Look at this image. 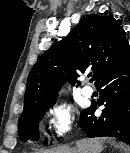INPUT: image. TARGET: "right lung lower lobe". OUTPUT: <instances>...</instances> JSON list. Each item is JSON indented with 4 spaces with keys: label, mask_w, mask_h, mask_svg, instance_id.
I'll return each instance as SVG.
<instances>
[{
    "label": "right lung lower lobe",
    "mask_w": 130,
    "mask_h": 153,
    "mask_svg": "<svg viewBox=\"0 0 130 153\" xmlns=\"http://www.w3.org/2000/svg\"><path fill=\"white\" fill-rule=\"evenodd\" d=\"M95 85L100 97L81 112L80 128L89 137L113 136L130 141V56L104 73ZM101 105L102 115L96 117L94 111Z\"/></svg>",
    "instance_id": "right-lung-lower-lobe-1"
}]
</instances>
